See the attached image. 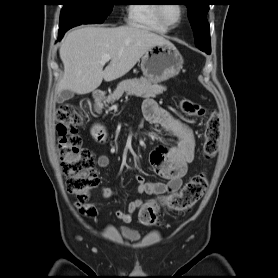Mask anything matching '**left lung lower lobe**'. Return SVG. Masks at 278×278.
Here are the masks:
<instances>
[{"label":"left lung lower lobe","mask_w":278,"mask_h":278,"mask_svg":"<svg viewBox=\"0 0 278 278\" xmlns=\"http://www.w3.org/2000/svg\"><path fill=\"white\" fill-rule=\"evenodd\" d=\"M204 52H206L207 54H210L211 51H204Z\"/></svg>","instance_id":"obj_1"}]
</instances>
